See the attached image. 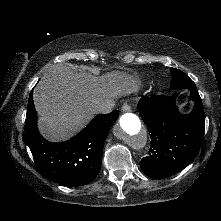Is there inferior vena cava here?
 Segmentation results:
<instances>
[{
  "mask_svg": "<svg viewBox=\"0 0 221 221\" xmlns=\"http://www.w3.org/2000/svg\"><path fill=\"white\" fill-rule=\"evenodd\" d=\"M115 106V102L114 101H107L102 103L101 105H99V107L97 108V113H109L113 110Z\"/></svg>",
  "mask_w": 221,
  "mask_h": 221,
  "instance_id": "602c4592",
  "label": "inferior vena cava"
}]
</instances>
